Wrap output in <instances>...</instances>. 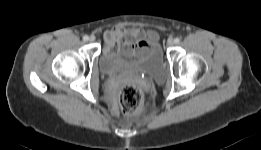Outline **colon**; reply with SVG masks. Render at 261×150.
Listing matches in <instances>:
<instances>
[{
	"mask_svg": "<svg viewBox=\"0 0 261 150\" xmlns=\"http://www.w3.org/2000/svg\"><path fill=\"white\" fill-rule=\"evenodd\" d=\"M119 103L127 115H138L143 110V91L137 84L125 85L119 93Z\"/></svg>",
	"mask_w": 261,
	"mask_h": 150,
	"instance_id": "colon-1",
	"label": "colon"
}]
</instances>
